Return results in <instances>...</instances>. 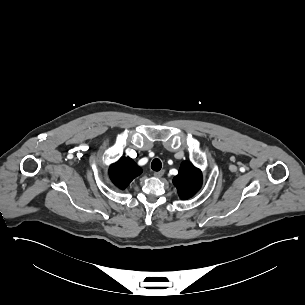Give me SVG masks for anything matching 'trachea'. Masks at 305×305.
<instances>
[{
  "label": "trachea",
  "instance_id": "obj_1",
  "mask_svg": "<svg viewBox=\"0 0 305 305\" xmlns=\"http://www.w3.org/2000/svg\"><path fill=\"white\" fill-rule=\"evenodd\" d=\"M161 168H162V162L158 158H155L151 163V169L153 171H160Z\"/></svg>",
  "mask_w": 305,
  "mask_h": 305
}]
</instances>
